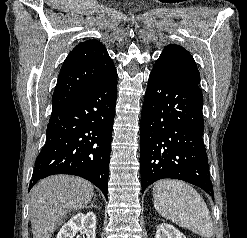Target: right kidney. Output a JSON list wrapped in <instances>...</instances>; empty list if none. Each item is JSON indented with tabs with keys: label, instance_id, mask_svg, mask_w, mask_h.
<instances>
[{
	"label": "right kidney",
	"instance_id": "1",
	"mask_svg": "<svg viewBox=\"0 0 247 238\" xmlns=\"http://www.w3.org/2000/svg\"><path fill=\"white\" fill-rule=\"evenodd\" d=\"M83 231L86 238L96 236V216L93 212L78 213L73 216L58 232L57 238H73L78 232Z\"/></svg>",
	"mask_w": 247,
	"mask_h": 238
}]
</instances>
